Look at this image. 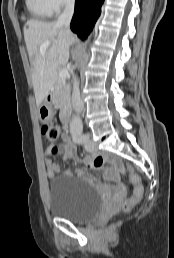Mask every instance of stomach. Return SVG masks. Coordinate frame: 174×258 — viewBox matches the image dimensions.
<instances>
[{
    "instance_id": "1",
    "label": "stomach",
    "mask_w": 174,
    "mask_h": 258,
    "mask_svg": "<svg viewBox=\"0 0 174 258\" xmlns=\"http://www.w3.org/2000/svg\"><path fill=\"white\" fill-rule=\"evenodd\" d=\"M39 118L41 121L46 122L53 118V103L49 96H46L43 103L38 108Z\"/></svg>"
}]
</instances>
